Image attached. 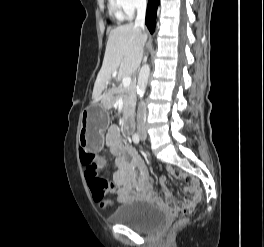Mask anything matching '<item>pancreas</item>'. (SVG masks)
I'll return each mask as SVG.
<instances>
[{
  "instance_id": "cf45deb5",
  "label": "pancreas",
  "mask_w": 264,
  "mask_h": 247,
  "mask_svg": "<svg viewBox=\"0 0 264 247\" xmlns=\"http://www.w3.org/2000/svg\"><path fill=\"white\" fill-rule=\"evenodd\" d=\"M112 96L108 98V101L105 103L106 107L114 106L115 102L119 99V97L123 98V109H122V117L123 119H127L133 108L135 101V94L132 88H125L123 86H119L118 88L112 90Z\"/></svg>"
}]
</instances>
